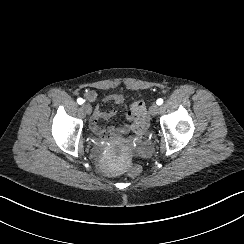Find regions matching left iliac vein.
<instances>
[{
    "mask_svg": "<svg viewBox=\"0 0 244 244\" xmlns=\"http://www.w3.org/2000/svg\"><path fill=\"white\" fill-rule=\"evenodd\" d=\"M159 110H160L159 106L156 105V104H153V105L150 107L149 112H150V114H151L152 116H155V115L158 114Z\"/></svg>",
    "mask_w": 244,
    "mask_h": 244,
    "instance_id": "left-iliac-vein-1",
    "label": "left iliac vein"
}]
</instances>
